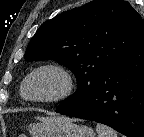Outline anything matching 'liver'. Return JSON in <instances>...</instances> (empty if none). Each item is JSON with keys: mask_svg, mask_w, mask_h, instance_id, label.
Returning a JSON list of instances; mask_svg holds the SVG:
<instances>
[{"mask_svg": "<svg viewBox=\"0 0 144 137\" xmlns=\"http://www.w3.org/2000/svg\"><path fill=\"white\" fill-rule=\"evenodd\" d=\"M39 120H41V121H45V120H48V119H50L49 117H37Z\"/></svg>", "mask_w": 144, "mask_h": 137, "instance_id": "1", "label": "liver"}]
</instances>
